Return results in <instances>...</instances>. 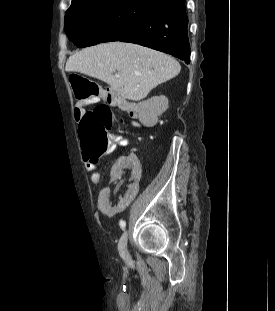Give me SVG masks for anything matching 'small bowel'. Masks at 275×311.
<instances>
[{
	"instance_id": "small-bowel-1",
	"label": "small bowel",
	"mask_w": 275,
	"mask_h": 311,
	"mask_svg": "<svg viewBox=\"0 0 275 311\" xmlns=\"http://www.w3.org/2000/svg\"><path fill=\"white\" fill-rule=\"evenodd\" d=\"M87 105L90 104L80 102L76 105L74 111L76 121H80ZM120 106L131 113L134 112L128 107L127 103H121ZM131 124L135 127L145 126V124L134 120L131 121ZM115 141L121 147L129 144V140L123 136L115 137ZM83 158L85 169L90 174L91 182L99 184L102 180V175L97 170L99 159H93L86 155H83ZM144 169V164L139 163L134 150H125L124 155H120V160H113L112 169L107 171L108 176H112L114 180L132 181L125 186L123 194L117 199H112L118 192L117 187H101L98 196L102 200H99L98 205L95 207V212L102 213L103 216H120L122 211L126 209L128 204L138 194L139 185L137 180H141Z\"/></svg>"
}]
</instances>
